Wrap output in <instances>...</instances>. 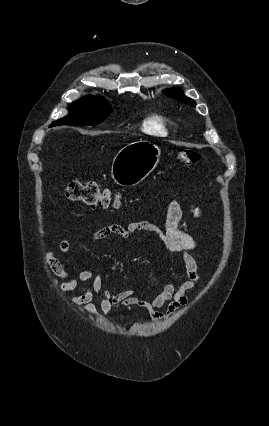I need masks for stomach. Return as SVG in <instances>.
Returning <instances> with one entry per match:
<instances>
[{"instance_id": "obj_1", "label": "stomach", "mask_w": 269, "mask_h": 426, "mask_svg": "<svg viewBox=\"0 0 269 426\" xmlns=\"http://www.w3.org/2000/svg\"><path fill=\"white\" fill-rule=\"evenodd\" d=\"M160 154L159 147L146 140L126 145L112 162L111 176L114 182L124 187L139 184L155 169Z\"/></svg>"}]
</instances>
